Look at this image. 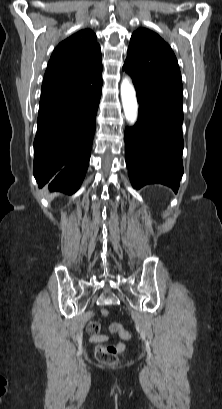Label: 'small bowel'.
<instances>
[{"label":"small bowel","mask_w":222,"mask_h":409,"mask_svg":"<svg viewBox=\"0 0 222 409\" xmlns=\"http://www.w3.org/2000/svg\"><path fill=\"white\" fill-rule=\"evenodd\" d=\"M100 325L98 322H91L89 324L88 331L92 334L90 337V341L95 344H101L108 341V336L104 334L97 333Z\"/></svg>","instance_id":"small-bowel-1"}]
</instances>
